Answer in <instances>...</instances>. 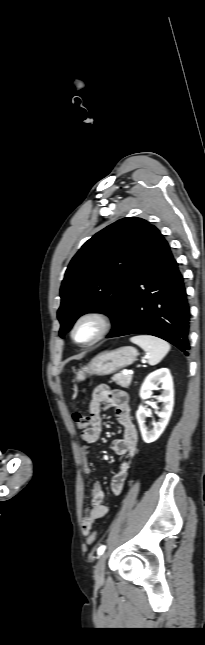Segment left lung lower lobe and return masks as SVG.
Segmentation results:
<instances>
[{
	"label": "left lung lower lobe",
	"mask_w": 205,
	"mask_h": 645,
	"mask_svg": "<svg viewBox=\"0 0 205 645\" xmlns=\"http://www.w3.org/2000/svg\"><path fill=\"white\" fill-rule=\"evenodd\" d=\"M183 281L167 241L150 225L129 271L118 327L108 338L149 334L188 355L190 309Z\"/></svg>",
	"instance_id": "obj_1"
}]
</instances>
